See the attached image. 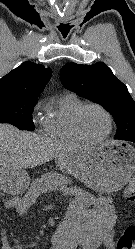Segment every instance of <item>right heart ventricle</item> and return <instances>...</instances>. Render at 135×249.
<instances>
[{"label": "right heart ventricle", "instance_id": "obj_1", "mask_svg": "<svg viewBox=\"0 0 135 249\" xmlns=\"http://www.w3.org/2000/svg\"><path fill=\"white\" fill-rule=\"evenodd\" d=\"M83 104L77 95L71 93L53 99L47 106V114L43 121L45 134L61 144H85L73 128V116Z\"/></svg>", "mask_w": 135, "mask_h": 249}]
</instances>
